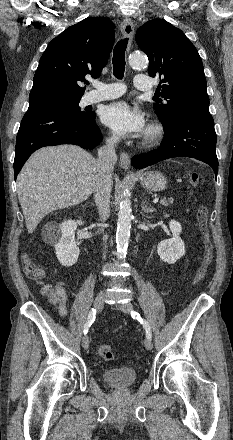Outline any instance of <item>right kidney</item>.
Returning <instances> with one entry per match:
<instances>
[{
	"mask_svg": "<svg viewBox=\"0 0 233 440\" xmlns=\"http://www.w3.org/2000/svg\"><path fill=\"white\" fill-rule=\"evenodd\" d=\"M81 220H68L61 224L50 222L45 225L42 235L45 243L55 247V253L62 266H73L79 257L80 250L75 241L77 225H82Z\"/></svg>",
	"mask_w": 233,
	"mask_h": 440,
	"instance_id": "ca27d5eb",
	"label": "right kidney"
}]
</instances>
